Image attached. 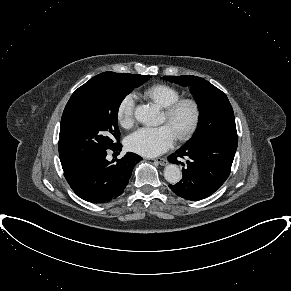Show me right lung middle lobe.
Listing matches in <instances>:
<instances>
[{
	"label": "right lung middle lobe",
	"instance_id": "1",
	"mask_svg": "<svg viewBox=\"0 0 291 291\" xmlns=\"http://www.w3.org/2000/svg\"><path fill=\"white\" fill-rule=\"evenodd\" d=\"M150 76H95L69 99L61 119L59 157L63 170L86 156L119 144L118 109L127 94Z\"/></svg>",
	"mask_w": 291,
	"mask_h": 291
}]
</instances>
